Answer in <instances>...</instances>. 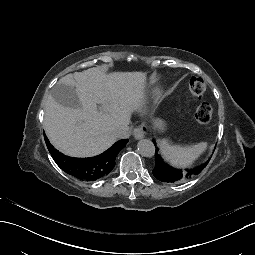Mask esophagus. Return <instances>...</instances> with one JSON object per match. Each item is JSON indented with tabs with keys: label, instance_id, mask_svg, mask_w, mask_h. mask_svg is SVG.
I'll return each instance as SVG.
<instances>
[{
	"label": "esophagus",
	"instance_id": "1",
	"mask_svg": "<svg viewBox=\"0 0 255 255\" xmlns=\"http://www.w3.org/2000/svg\"><path fill=\"white\" fill-rule=\"evenodd\" d=\"M148 132V127L145 123H142L140 126L134 129L133 135L136 139H142L146 136Z\"/></svg>",
	"mask_w": 255,
	"mask_h": 255
}]
</instances>
